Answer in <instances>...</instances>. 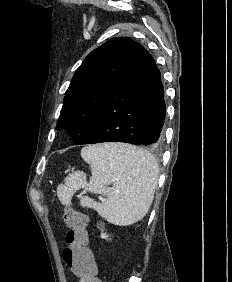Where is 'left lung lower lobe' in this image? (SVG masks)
<instances>
[{
	"mask_svg": "<svg viewBox=\"0 0 232 282\" xmlns=\"http://www.w3.org/2000/svg\"><path fill=\"white\" fill-rule=\"evenodd\" d=\"M165 114L160 71L144 50L124 84L102 106L89 136L75 145L125 142L157 148Z\"/></svg>",
	"mask_w": 232,
	"mask_h": 282,
	"instance_id": "left-lung-lower-lobe-1",
	"label": "left lung lower lobe"
}]
</instances>
